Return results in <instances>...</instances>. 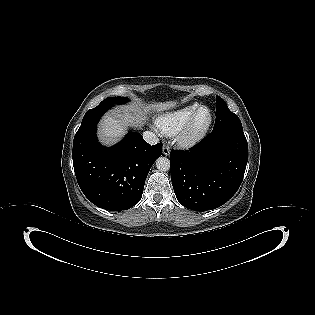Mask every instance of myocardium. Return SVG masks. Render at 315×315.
Masks as SVG:
<instances>
[{
  "instance_id": "myocardium-1",
  "label": "myocardium",
  "mask_w": 315,
  "mask_h": 315,
  "mask_svg": "<svg viewBox=\"0 0 315 315\" xmlns=\"http://www.w3.org/2000/svg\"><path fill=\"white\" fill-rule=\"evenodd\" d=\"M206 110L209 114L208 121L206 124L197 129L195 127V123L197 120L198 115ZM213 123V112L210 109V107L201 105L199 106L195 112L192 114V116L189 118L187 123L182 127V129L177 133L176 141L177 144L185 149L194 147L198 143H200L208 134L211 126Z\"/></svg>"
}]
</instances>
